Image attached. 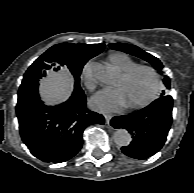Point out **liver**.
<instances>
[{
  "mask_svg": "<svg viewBox=\"0 0 194 193\" xmlns=\"http://www.w3.org/2000/svg\"><path fill=\"white\" fill-rule=\"evenodd\" d=\"M72 87L73 82L67 72H63L61 75L52 73L48 79L42 81L40 93L46 101L57 103L65 101L69 97Z\"/></svg>",
  "mask_w": 194,
  "mask_h": 193,
  "instance_id": "liver-1",
  "label": "liver"
}]
</instances>
